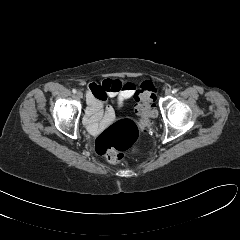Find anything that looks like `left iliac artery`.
<instances>
[{"mask_svg": "<svg viewBox=\"0 0 240 240\" xmlns=\"http://www.w3.org/2000/svg\"><path fill=\"white\" fill-rule=\"evenodd\" d=\"M177 91H178L177 89H173L172 93H177Z\"/></svg>", "mask_w": 240, "mask_h": 240, "instance_id": "44dca946", "label": "left iliac artery"}]
</instances>
